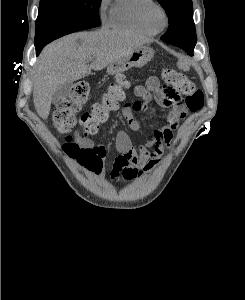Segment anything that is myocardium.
I'll return each instance as SVG.
<instances>
[{
  "label": "myocardium",
  "mask_w": 245,
  "mask_h": 300,
  "mask_svg": "<svg viewBox=\"0 0 245 300\" xmlns=\"http://www.w3.org/2000/svg\"><path fill=\"white\" fill-rule=\"evenodd\" d=\"M152 10H157L161 17H162V24L159 26H155L152 24L151 20H150V12ZM139 17H140V21L142 23V25L149 31H151L152 33H158L162 30H164L168 24H169V17L167 14V11L165 10V8L160 5L159 3L153 1V0H148L147 3H145L139 12Z\"/></svg>",
  "instance_id": "obj_1"
}]
</instances>
